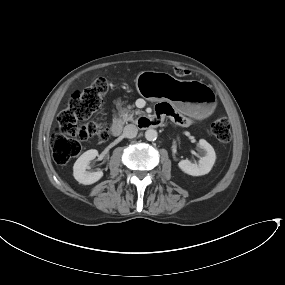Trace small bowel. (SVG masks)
<instances>
[{"label": "small bowel", "mask_w": 285, "mask_h": 285, "mask_svg": "<svg viewBox=\"0 0 285 285\" xmlns=\"http://www.w3.org/2000/svg\"><path fill=\"white\" fill-rule=\"evenodd\" d=\"M156 113H157V121H161L165 116L170 115L172 113V109L170 106L165 105H157L156 106ZM185 124H189L190 120L184 118Z\"/></svg>", "instance_id": "obj_1"}]
</instances>
